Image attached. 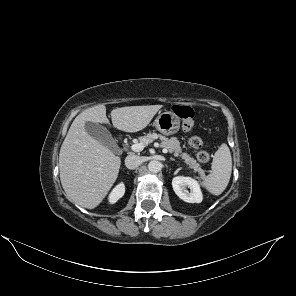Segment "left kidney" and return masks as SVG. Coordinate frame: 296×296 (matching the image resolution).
I'll list each match as a JSON object with an SVG mask.
<instances>
[{
	"label": "left kidney",
	"mask_w": 296,
	"mask_h": 296,
	"mask_svg": "<svg viewBox=\"0 0 296 296\" xmlns=\"http://www.w3.org/2000/svg\"><path fill=\"white\" fill-rule=\"evenodd\" d=\"M176 195L188 203H201L203 196L198 182L190 177L177 176L172 180ZM188 187L190 192L186 189Z\"/></svg>",
	"instance_id": "left-kidney-1"
}]
</instances>
